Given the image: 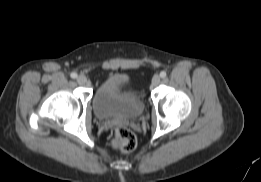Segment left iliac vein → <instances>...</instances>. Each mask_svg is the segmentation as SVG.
I'll return each mask as SVG.
<instances>
[{"instance_id":"1","label":"left iliac vein","mask_w":261,"mask_h":182,"mask_svg":"<svg viewBox=\"0 0 261 182\" xmlns=\"http://www.w3.org/2000/svg\"><path fill=\"white\" fill-rule=\"evenodd\" d=\"M160 76L159 75H154L152 78V85L153 86H157L160 83Z\"/></svg>"}]
</instances>
